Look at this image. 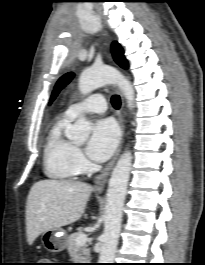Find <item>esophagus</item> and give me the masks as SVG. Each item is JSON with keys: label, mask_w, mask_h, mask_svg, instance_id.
Returning <instances> with one entry per match:
<instances>
[{"label": "esophagus", "mask_w": 205, "mask_h": 265, "mask_svg": "<svg viewBox=\"0 0 205 265\" xmlns=\"http://www.w3.org/2000/svg\"><path fill=\"white\" fill-rule=\"evenodd\" d=\"M119 94H120V98H121V108H120V112H119V116H118V120H119V124H120V128H121V141H120V145L119 148L117 149L114 157L112 158V160L105 166V168L101 171V173L99 175L96 176L95 178V185L94 188L97 192H102L105 188V185L107 183L108 177L110 175V172L120 154L121 151V147H122V143H123V134H124V122H123V107H124V97L122 92L119 90Z\"/></svg>", "instance_id": "esophagus-1"}]
</instances>
